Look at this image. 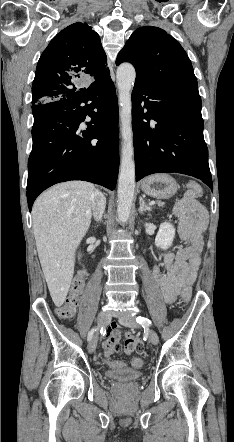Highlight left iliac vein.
I'll use <instances>...</instances> for the list:
<instances>
[{"instance_id":"obj_1","label":"left iliac vein","mask_w":234,"mask_h":442,"mask_svg":"<svg viewBox=\"0 0 234 442\" xmlns=\"http://www.w3.org/2000/svg\"><path fill=\"white\" fill-rule=\"evenodd\" d=\"M119 322L126 327H132V328L139 327V324L135 321V318L129 315L121 317L119 319ZM148 336L150 342L153 345H157L159 343L158 334L153 329H148Z\"/></svg>"}]
</instances>
